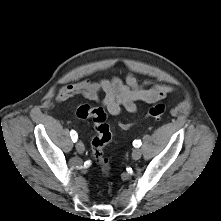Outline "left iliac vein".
I'll list each match as a JSON object with an SVG mask.
<instances>
[{"label": "left iliac vein", "instance_id": "left-iliac-vein-1", "mask_svg": "<svg viewBox=\"0 0 221 221\" xmlns=\"http://www.w3.org/2000/svg\"><path fill=\"white\" fill-rule=\"evenodd\" d=\"M141 155H142V151H141V149H139V148H136V149L132 152V158H133L134 160L140 159V158H141Z\"/></svg>", "mask_w": 221, "mask_h": 221}]
</instances>
